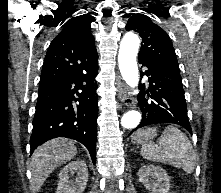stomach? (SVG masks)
<instances>
[{"label":"stomach","mask_w":221,"mask_h":193,"mask_svg":"<svg viewBox=\"0 0 221 193\" xmlns=\"http://www.w3.org/2000/svg\"><path fill=\"white\" fill-rule=\"evenodd\" d=\"M157 135L155 128H149L148 130H139L132 137L133 143H145L150 139H153Z\"/></svg>","instance_id":"1"}]
</instances>
